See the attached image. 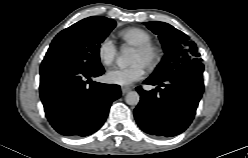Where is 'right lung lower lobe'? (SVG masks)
I'll return each instance as SVG.
<instances>
[{
  "label": "right lung lower lobe",
  "mask_w": 248,
  "mask_h": 158,
  "mask_svg": "<svg viewBox=\"0 0 248 158\" xmlns=\"http://www.w3.org/2000/svg\"><path fill=\"white\" fill-rule=\"evenodd\" d=\"M104 73L100 63L82 64L44 58L40 67V97L52 127L65 136H87L105 122L120 86L92 81Z\"/></svg>",
  "instance_id": "right-lung-lower-lobe-1"
}]
</instances>
